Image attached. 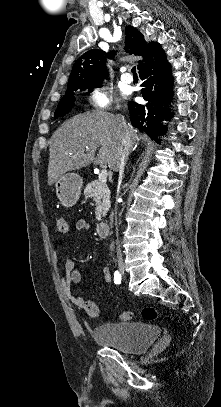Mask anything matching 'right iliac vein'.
Masks as SVG:
<instances>
[{"label":"right iliac vein","mask_w":221,"mask_h":407,"mask_svg":"<svg viewBox=\"0 0 221 407\" xmlns=\"http://www.w3.org/2000/svg\"><path fill=\"white\" fill-rule=\"evenodd\" d=\"M122 270H123V267H120V271L122 272Z\"/></svg>","instance_id":"63e3f726"}]
</instances>
